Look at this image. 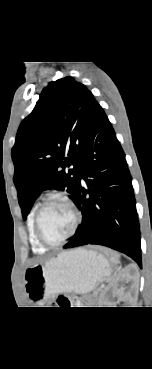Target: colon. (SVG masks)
<instances>
[{"mask_svg": "<svg viewBox=\"0 0 152 369\" xmlns=\"http://www.w3.org/2000/svg\"><path fill=\"white\" fill-rule=\"evenodd\" d=\"M54 304L58 307H71L74 301L67 295H60Z\"/></svg>", "mask_w": 152, "mask_h": 369, "instance_id": "colon-1", "label": "colon"}]
</instances>
